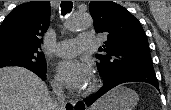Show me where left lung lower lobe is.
Returning <instances> with one entry per match:
<instances>
[{"instance_id":"1","label":"left lung lower lobe","mask_w":171,"mask_h":110,"mask_svg":"<svg viewBox=\"0 0 171 110\" xmlns=\"http://www.w3.org/2000/svg\"><path fill=\"white\" fill-rule=\"evenodd\" d=\"M146 82L153 86H155L159 90L158 80L154 71H147V70H130V71H123L120 72L106 80H103L104 85L103 87L92 97L85 100V105L90 106L95 100L101 97L110 89L114 88L115 86L125 83V82Z\"/></svg>"}]
</instances>
